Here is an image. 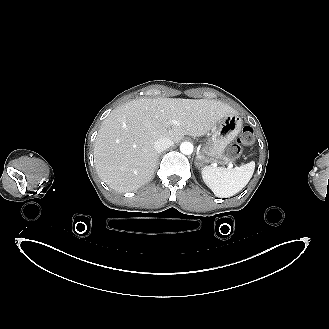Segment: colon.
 I'll list each match as a JSON object with an SVG mask.
<instances>
[{
  "label": "colon",
  "mask_w": 329,
  "mask_h": 329,
  "mask_svg": "<svg viewBox=\"0 0 329 329\" xmlns=\"http://www.w3.org/2000/svg\"><path fill=\"white\" fill-rule=\"evenodd\" d=\"M239 143L244 146H249L254 143V132L250 127H245L240 135ZM234 155H238L240 153L239 145H235L233 149Z\"/></svg>",
  "instance_id": "colon-1"
}]
</instances>
